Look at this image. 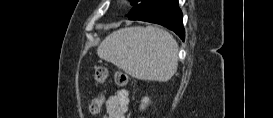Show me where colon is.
Returning a JSON list of instances; mask_svg holds the SVG:
<instances>
[{
	"mask_svg": "<svg viewBox=\"0 0 273 118\" xmlns=\"http://www.w3.org/2000/svg\"><path fill=\"white\" fill-rule=\"evenodd\" d=\"M109 76V70L104 66H97L95 69V79L98 83H104ZM114 80L118 86H126L128 83V76L121 71L114 72ZM105 98L102 94L95 97L89 105V111L91 113H98L103 108Z\"/></svg>",
	"mask_w": 273,
	"mask_h": 118,
	"instance_id": "colon-1",
	"label": "colon"
}]
</instances>
